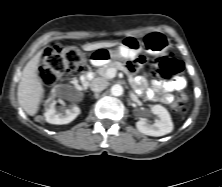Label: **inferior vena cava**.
I'll return each mask as SVG.
<instances>
[{"label": "inferior vena cava", "instance_id": "inferior-vena-cava-1", "mask_svg": "<svg viewBox=\"0 0 222 187\" xmlns=\"http://www.w3.org/2000/svg\"><path fill=\"white\" fill-rule=\"evenodd\" d=\"M107 87V82L103 78H95L90 83V88L94 92H101Z\"/></svg>", "mask_w": 222, "mask_h": 187}]
</instances>
